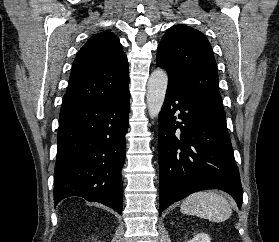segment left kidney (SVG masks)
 <instances>
[{
  "mask_svg": "<svg viewBox=\"0 0 279 242\" xmlns=\"http://www.w3.org/2000/svg\"><path fill=\"white\" fill-rule=\"evenodd\" d=\"M188 242H211L210 237L206 233H199L195 235Z\"/></svg>",
  "mask_w": 279,
  "mask_h": 242,
  "instance_id": "1",
  "label": "left kidney"
}]
</instances>
